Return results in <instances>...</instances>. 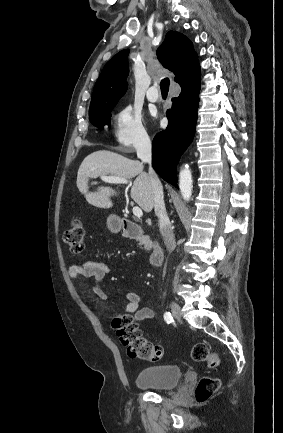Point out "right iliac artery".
<instances>
[{
    "label": "right iliac artery",
    "instance_id": "right-iliac-artery-1",
    "mask_svg": "<svg viewBox=\"0 0 283 433\" xmlns=\"http://www.w3.org/2000/svg\"><path fill=\"white\" fill-rule=\"evenodd\" d=\"M164 320L169 324V323H172L174 320H173V317H172V315H171V313L170 312H166L165 314H164Z\"/></svg>",
    "mask_w": 283,
    "mask_h": 433
}]
</instances>
